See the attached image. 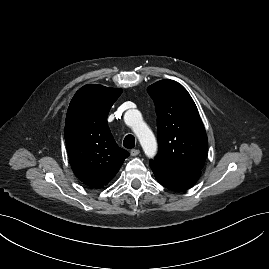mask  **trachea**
Instances as JSON below:
<instances>
[{
	"instance_id": "1",
	"label": "trachea",
	"mask_w": 269,
	"mask_h": 269,
	"mask_svg": "<svg viewBox=\"0 0 269 269\" xmlns=\"http://www.w3.org/2000/svg\"><path fill=\"white\" fill-rule=\"evenodd\" d=\"M123 146L127 149H132L135 146V138L133 135H127L124 138Z\"/></svg>"
}]
</instances>
